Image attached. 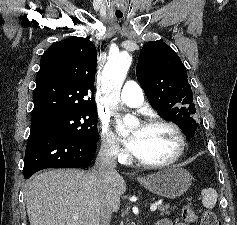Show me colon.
<instances>
[{"instance_id":"1","label":"colon","mask_w":237,"mask_h":225,"mask_svg":"<svg viewBox=\"0 0 237 225\" xmlns=\"http://www.w3.org/2000/svg\"><path fill=\"white\" fill-rule=\"evenodd\" d=\"M182 217L186 222L192 223L196 221L197 214L191 205H185L182 208ZM201 225H221V223L214 213L207 212L201 219Z\"/></svg>"}]
</instances>
